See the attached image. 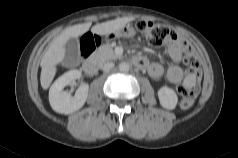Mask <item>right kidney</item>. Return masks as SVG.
I'll use <instances>...</instances> for the list:
<instances>
[{"mask_svg":"<svg viewBox=\"0 0 238 158\" xmlns=\"http://www.w3.org/2000/svg\"><path fill=\"white\" fill-rule=\"evenodd\" d=\"M80 77L81 71L70 70L52 84L49 90V102L55 112L68 115L79 110L85 104L89 91L88 84L81 85L73 97L63 90L65 86Z\"/></svg>","mask_w":238,"mask_h":158,"instance_id":"right-kidney-1","label":"right kidney"}]
</instances>
